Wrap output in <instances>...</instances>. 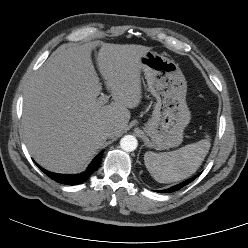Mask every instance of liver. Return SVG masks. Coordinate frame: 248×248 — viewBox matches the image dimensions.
I'll return each instance as SVG.
<instances>
[{
    "label": "liver",
    "instance_id": "6515ba94",
    "mask_svg": "<svg viewBox=\"0 0 248 248\" xmlns=\"http://www.w3.org/2000/svg\"><path fill=\"white\" fill-rule=\"evenodd\" d=\"M97 44L62 45L32 76L25 91L22 134L43 168L77 173L104 144L107 126L126 130L129 109L142 98L140 59L151 47L101 43L97 66L113 101L100 103L102 86L91 59Z\"/></svg>",
    "mask_w": 248,
    "mask_h": 248
}]
</instances>
